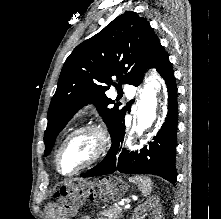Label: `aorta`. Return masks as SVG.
I'll return each mask as SVG.
<instances>
[{
  "label": "aorta",
  "instance_id": "762f6f07",
  "mask_svg": "<svg viewBox=\"0 0 221 219\" xmlns=\"http://www.w3.org/2000/svg\"><path fill=\"white\" fill-rule=\"evenodd\" d=\"M163 97L164 88L159 79L156 76L147 77L139 97L137 121L133 126L137 136H141L155 122Z\"/></svg>",
  "mask_w": 221,
  "mask_h": 219
}]
</instances>
